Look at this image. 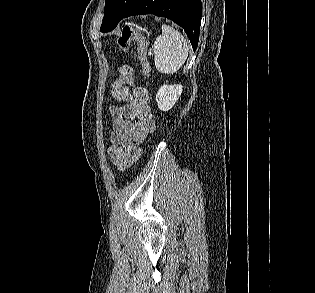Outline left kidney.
<instances>
[{"instance_id": "left-kidney-1", "label": "left kidney", "mask_w": 315, "mask_h": 293, "mask_svg": "<svg viewBox=\"0 0 315 293\" xmlns=\"http://www.w3.org/2000/svg\"><path fill=\"white\" fill-rule=\"evenodd\" d=\"M183 91L182 85H163L156 94L158 108L161 111L170 110Z\"/></svg>"}]
</instances>
